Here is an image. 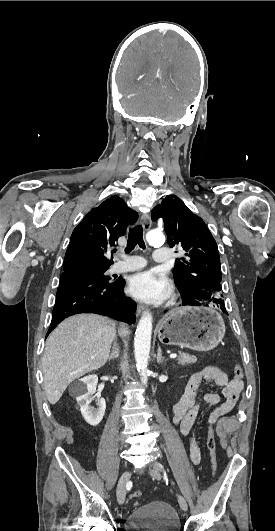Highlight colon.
Instances as JSON below:
<instances>
[{
  "label": "colon",
  "instance_id": "1",
  "mask_svg": "<svg viewBox=\"0 0 275 531\" xmlns=\"http://www.w3.org/2000/svg\"><path fill=\"white\" fill-rule=\"evenodd\" d=\"M234 372L238 377L242 376L243 371H242L241 365L236 364L234 367ZM205 436L207 437V449L209 451L211 471L213 475H215L217 471V459H216V442H215V436H214V429L212 427H209L205 431ZM140 495H141V490L136 489L134 491L132 498L138 499Z\"/></svg>",
  "mask_w": 275,
  "mask_h": 531
}]
</instances>
